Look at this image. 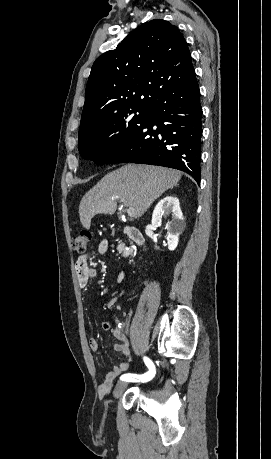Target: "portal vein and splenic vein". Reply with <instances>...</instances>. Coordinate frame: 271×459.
<instances>
[{
	"label": "portal vein and splenic vein",
	"mask_w": 271,
	"mask_h": 459,
	"mask_svg": "<svg viewBox=\"0 0 271 459\" xmlns=\"http://www.w3.org/2000/svg\"><path fill=\"white\" fill-rule=\"evenodd\" d=\"M127 214L130 216V218H135L136 216L134 208H128Z\"/></svg>",
	"instance_id": "18ae733b"
}]
</instances>
